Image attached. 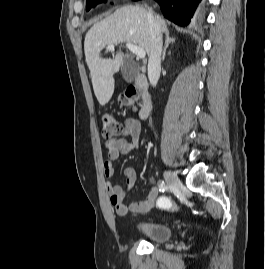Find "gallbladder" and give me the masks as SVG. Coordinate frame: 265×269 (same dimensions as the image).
<instances>
[{"label":"gallbladder","mask_w":265,"mask_h":269,"mask_svg":"<svg viewBox=\"0 0 265 269\" xmlns=\"http://www.w3.org/2000/svg\"><path fill=\"white\" fill-rule=\"evenodd\" d=\"M138 71L139 70L136 65L132 64L129 60L125 59L122 65V74L127 82H132L135 79Z\"/></svg>","instance_id":"bac80fb5"}]
</instances>
